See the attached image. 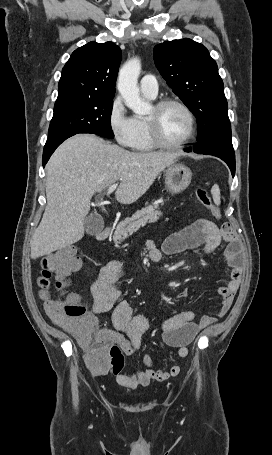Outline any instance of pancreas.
Segmentation results:
<instances>
[{
	"label": "pancreas",
	"instance_id": "pancreas-1",
	"mask_svg": "<svg viewBox=\"0 0 272 455\" xmlns=\"http://www.w3.org/2000/svg\"><path fill=\"white\" fill-rule=\"evenodd\" d=\"M162 213L158 210V206H148L137 211L131 218H126L124 221L117 224L113 234V241L118 244L127 239L131 234L136 232L141 226L147 223L156 222Z\"/></svg>",
	"mask_w": 272,
	"mask_h": 455
}]
</instances>
